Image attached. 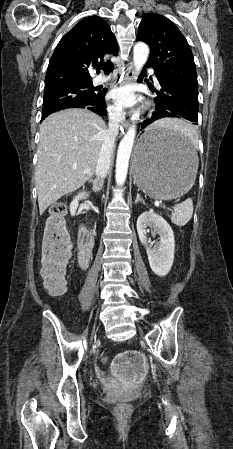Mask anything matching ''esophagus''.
<instances>
[{
    "label": "esophagus",
    "instance_id": "1",
    "mask_svg": "<svg viewBox=\"0 0 233 449\" xmlns=\"http://www.w3.org/2000/svg\"><path fill=\"white\" fill-rule=\"evenodd\" d=\"M133 75H134V66H133V62H129L127 67H126V71L125 74L121 77V81L123 84H130L133 80ZM122 125L125 129H127L130 125L129 120L127 119H123L122 120Z\"/></svg>",
    "mask_w": 233,
    "mask_h": 449
}]
</instances>
